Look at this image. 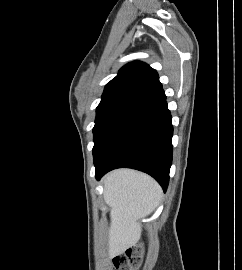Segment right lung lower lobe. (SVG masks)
<instances>
[{"label": "right lung lower lobe", "instance_id": "obj_1", "mask_svg": "<svg viewBox=\"0 0 242 270\" xmlns=\"http://www.w3.org/2000/svg\"><path fill=\"white\" fill-rule=\"evenodd\" d=\"M173 127L166 96L137 106L94 160L96 178L116 168H133L151 175L166 191L172 163Z\"/></svg>", "mask_w": 242, "mask_h": 270}]
</instances>
